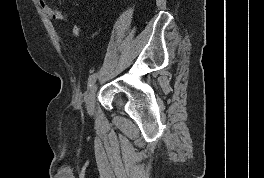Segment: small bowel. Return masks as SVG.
I'll list each match as a JSON object with an SVG mask.
<instances>
[{"instance_id":"small-bowel-1","label":"small bowel","mask_w":264,"mask_h":178,"mask_svg":"<svg viewBox=\"0 0 264 178\" xmlns=\"http://www.w3.org/2000/svg\"><path fill=\"white\" fill-rule=\"evenodd\" d=\"M39 6L41 7L42 11L48 15L49 17H51L52 19L56 20V21H61V22H65L67 21V16L65 14V12L63 11V9L59 8H53L50 6V4L48 3V0H37ZM72 33L74 36H80L82 33V28L80 25H74L72 27Z\"/></svg>"}]
</instances>
